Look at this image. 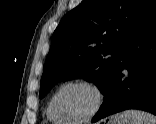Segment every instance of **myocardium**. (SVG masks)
Here are the masks:
<instances>
[{"label":"myocardium","mask_w":156,"mask_h":124,"mask_svg":"<svg viewBox=\"0 0 156 124\" xmlns=\"http://www.w3.org/2000/svg\"><path fill=\"white\" fill-rule=\"evenodd\" d=\"M74 86L86 87V88L90 89L91 91H93V93L95 94V97H96V103H95L94 108L86 116H84L80 119H75V120L64 119L56 111V100H57L58 96L60 95V93L64 89H66L68 87H74ZM104 103H105V93L99 84H97L96 82H93V81H89V80H73V81L64 83L54 93V95L52 96V98L50 100V109H51L52 114L56 118L61 119L63 122L68 123V124H80V123H85V122L92 120L100 112Z\"/></svg>","instance_id":"f54148a6"}]
</instances>
